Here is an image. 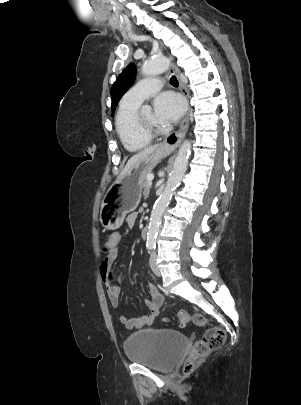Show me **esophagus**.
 <instances>
[{
  "label": "esophagus",
  "instance_id": "1",
  "mask_svg": "<svg viewBox=\"0 0 301 405\" xmlns=\"http://www.w3.org/2000/svg\"><path fill=\"white\" fill-rule=\"evenodd\" d=\"M168 70L170 73L176 75V77L179 81V84H180V88L188 103L189 93L181 80L180 72H179L178 68L176 67V65L173 62H171ZM188 127H189V108L187 110V113H186L184 119L181 122L179 130L176 131L175 133H171L170 135H168L162 142V147L169 148V149L176 148L181 143L184 136L186 135Z\"/></svg>",
  "mask_w": 301,
  "mask_h": 405
}]
</instances>
